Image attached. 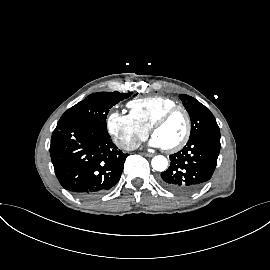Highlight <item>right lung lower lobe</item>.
Listing matches in <instances>:
<instances>
[{
	"label": "right lung lower lobe",
	"instance_id": "right-lung-lower-lobe-1",
	"mask_svg": "<svg viewBox=\"0 0 270 270\" xmlns=\"http://www.w3.org/2000/svg\"><path fill=\"white\" fill-rule=\"evenodd\" d=\"M50 155L62 187L81 198L99 196L113 187L128 156L117 149L107 130L86 122L57 124Z\"/></svg>",
	"mask_w": 270,
	"mask_h": 270
}]
</instances>
